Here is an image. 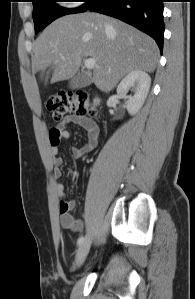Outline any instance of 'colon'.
I'll use <instances>...</instances> for the list:
<instances>
[{
  "label": "colon",
  "instance_id": "colon-1",
  "mask_svg": "<svg viewBox=\"0 0 195 299\" xmlns=\"http://www.w3.org/2000/svg\"><path fill=\"white\" fill-rule=\"evenodd\" d=\"M47 110L52 114L54 121L62 120L67 114L75 113L79 116L94 114V107L84 91L62 93L48 98Z\"/></svg>",
  "mask_w": 195,
  "mask_h": 299
}]
</instances>
